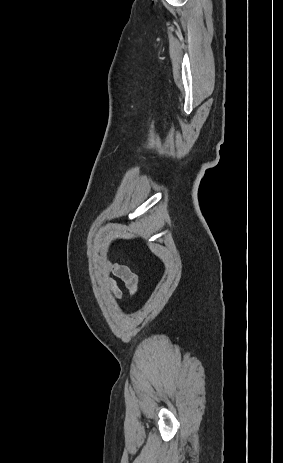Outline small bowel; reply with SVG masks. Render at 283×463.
<instances>
[{"instance_id": "obj_1", "label": "small bowel", "mask_w": 283, "mask_h": 463, "mask_svg": "<svg viewBox=\"0 0 283 463\" xmlns=\"http://www.w3.org/2000/svg\"><path fill=\"white\" fill-rule=\"evenodd\" d=\"M104 272L112 276L107 279L106 285L113 300H119L122 295L117 279L123 281L130 292L134 291L135 282L133 275L127 268L118 264L109 263Z\"/></svg>"}]
</instances>
